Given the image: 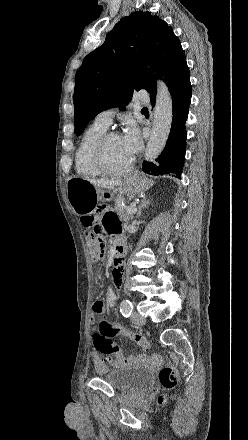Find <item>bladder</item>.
<instances>
[{"label": "bladder", "instance_id": "1", "mask_svg": "<svg viewBox=\"0 0 248 440\" xmlns=\"http://www.w3.org/2000/svg\"><path fill=\"white\" fill-rule=\"evenodd\" d=\"M100 377L118 390H142L153 383V373L150 369L134 365H120L99 372Z\"/></svg>", "mask_w": 248, "mask_h": 440}]
</instances>
